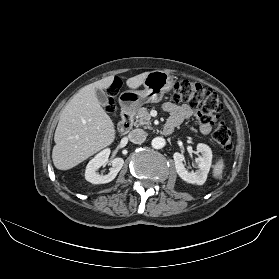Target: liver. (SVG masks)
<instances>
[{
    "mask_svg": "<svg viewBox=\"0 0 279 279\" xmlns=\"http://www.w3.org/2000/svg\"><path fill=\"white\" fill-rule=\"evenodd\" d=\"M148 74L129 78L127 86L138 88ZM113 79L109 76L81 88L66 104L54 135L52 159L57 169H71L114 142V124L96 97V89L108 88Z\"/></svg>",
    "mask_w": 279,
    "mask_h": 279,
    "instance_id": "6515ba94",
    "label": "liver"
}]
</instances>
